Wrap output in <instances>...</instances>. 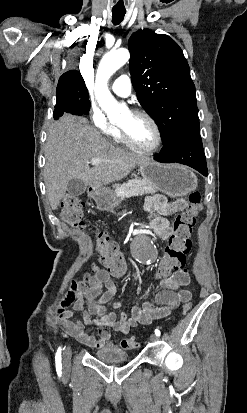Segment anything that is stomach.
<instances>
[{
	"instance_id": "obj_1",
	"label": "stomach",
	"mask_w": 247,
	"mask_h": 413,
	"mask_svg": "<svg viewBox=\"0 0 247 413\" xmlns=\"http://www.w3.org/2000/svg\"><path fill=\"white\" fill-rule=\"evenodd\" d=\"M139 166L144 180L173 198L174 196H186L192 190H196L198 186L196 174L184 164H176V162L164 164V162H156L151 156H147L145 162H140ZM89 196L93 198L97 209H101V211H112L121 202L110 188H93L89 192Z\"/></svg>"
}]
</instances>
